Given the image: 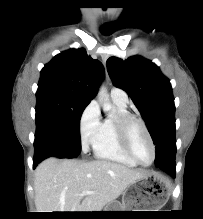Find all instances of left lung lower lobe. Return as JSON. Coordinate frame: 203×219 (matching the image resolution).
I'll list each match as a JSON object with an SVG mask.
<instances>
[{
  "label": "left lung lower lobe",
  "mask_w": 203,
  "mask_h": 219,
  "mask_svg": "<svg viewBox=\"0 0 203 219\" xmlns=\"http://www.w3.org/2000/svg\"><path fill=\"white\" fill-rule=\"evenodd\" d=\"M175 156H170L166 159H164L162 162L156 164L157 167L162 169L163 171L167 172L169 175H171L173 178H175Z\"/></svg>",
  "instance_id": "1"
}]
</instances>
